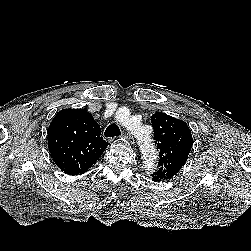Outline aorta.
Listing matches in <instances>:
<instances>
[{"label":"aorta","mask_w":251,"mask_h":251,"mask_svg":"<svg viewBox=\"0 0 251 251\" xmlns=\"http://www.w3.org/2000/svg\"><path fill=\"white\" fill-rule=\"evenodd\" d=\"M118 119L136 138L146 166L153 168L157 162V152L152 140L151 131L146 129L136 117H123L118 114Z\"/></svg>","instance_id":"1"}]
</instances>
